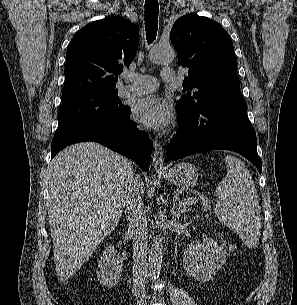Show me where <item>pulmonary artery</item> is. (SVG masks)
I'll return each mask as SVG.
<instances>
[{
    "label": "pulmonary artery",
    "instance_id": "pulmonary-artery-1",
    "mask_svg": "<svg viewBox=\"0 0 297 305\" xmlns=\"http://www.w3.org/2000/svg\"><path fill=\"white\" fill-rule=\"evenodd\" d=\"M161 77L164 82L176 81V73L172 69H163ZM124 79L131 82L130 85L124 86L120 91L121 95L125 97L150 93L158 87V80L148 75L127 73L124 75Z\"/></svg>",
    "mask_w": 297,
    "mask_h": 305
}]
</instances>
